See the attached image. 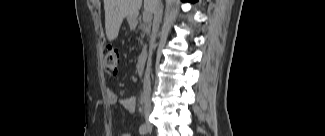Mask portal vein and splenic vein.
Segmentation results:
<instances>
[{
    "mask_svg": "<svg viewBox=\"0 0 325 136\" xmlns=\"http://www.w3.org/2000/svg\"><path fill=\"white\" fill-rule=\"evenodd\" d=\"M151 19H152V15L150 12L146 11L143 13V21L145 23H149L151 21Z\"/></svg>",
    "mask_w": 325,
    "mask_h": 136,
    "instance_id": "1",
    "label": "portal vein and splenic vein"
}]
</instances>
